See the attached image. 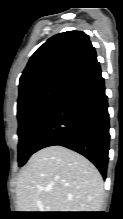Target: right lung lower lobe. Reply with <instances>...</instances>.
<instances>
[{
	"mask_svg": "<svg viewBox=\"0 0 123 219\" xmlns=\"http://www.w3.org/2000/svg\"><path fill=\"white\" fill-rule=\"evenodd\" d=\"M107 108L96 62L68 81L35 142V152L54 145L67 147L88 158L105 178L110 141Z\"/></svg>",
	"mask_w": 123,
	"mask_h": 219,
	"instance_id": "obj_1",
	"label": "right lung lower lobe"
}]
</instances>
